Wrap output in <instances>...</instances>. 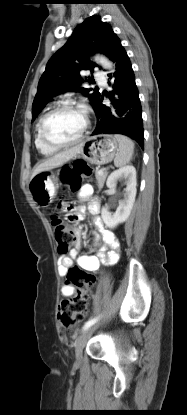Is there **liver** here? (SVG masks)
<instances>
[{"instance_id":"liver-1","label":"liver","mask_w":187,"mask_h":415,"mask_svg":"<svg viewBox=\"0 0 187 415\" xmlns=\"http://www.w3.org/2000/svg\"><path fill=\"white\" fill-rule=\"evenodd\" d=\"M81 150H82V144L74 146L70 149H66L60 153L55 154L52 157H49L48 159L44 160L42 163H40L39 165L35 167L31 178L43 171H48V170H51L53 168L63 165L70 159L76 157V155L80 153Z\"/></svg>"}]
</instances>
